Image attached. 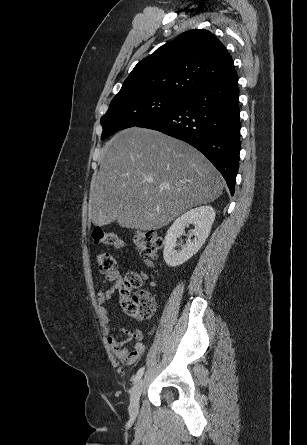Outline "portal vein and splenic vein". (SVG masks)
I'll return each instance as SVG.
<instances>
[{"label":"portal vein and splenic vein","instance_id":"portal-vein-and-splenic-vein-1","mask_svg":"<svg viewBox=\"0 0 307 445\" xmlns=\"http://www.w3.org/2000/svg\"><path fill=\"white\" fill-rule=\"evenodd\" d=\"M148 182H152V180H148Z\"/></svg>","mask_w":307,"mask_h":445}]
</instances>
